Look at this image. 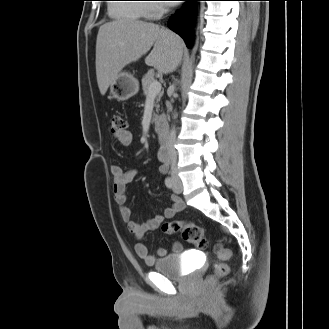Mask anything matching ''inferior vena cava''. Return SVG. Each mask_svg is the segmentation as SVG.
<instances>
[{
  "label": "inferior vena cava",
  "instance_id": "obj_1",
  "mask_svg": "<svg viewBox=\"0 0 329 329\" xmlns=\"http://www.w3.org/2000/svg\"><path fill=\"white\" fill-rule=\"evenodd\" d=\"M176 139V130L175 127H173L170 130L169 136H168V140H167V150H168V154L170 157V163H171V177L173 179H177L178 178V173H177V153L174 149V142Z\"/></svg>",
  "mask_w": 329,
  "mask_h": 329
}]
</instances>
